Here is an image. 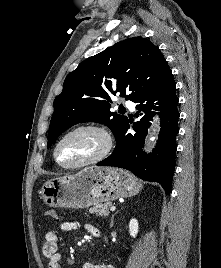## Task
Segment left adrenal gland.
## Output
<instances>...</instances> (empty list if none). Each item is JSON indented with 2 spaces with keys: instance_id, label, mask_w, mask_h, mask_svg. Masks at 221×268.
Listing matches in <instances>:
<instances>
[{
  "instance_id": "obj_1",
  "label": "left adrenal gland",
  "mask_w": 221,
  "mask_h": 268,
  "mask_svg": "<svg viewBox=\"0 0 221 268\" xmlns=\"http://www.w3.org/2000/svg\"><path fill=\"white\" fill-rule=\"evenodd\" d=\"M117 213H118V211H116V213L113 214L112 217H111L110 228H112L113 225H114V217H115V215H116Z\"/></svg>"
}]
</instances>
